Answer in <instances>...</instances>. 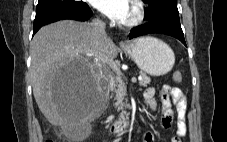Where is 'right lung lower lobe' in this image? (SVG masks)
<instances>
[{"mask_svg": "<svg viewBox=\"0 0 227 142\" xmlns=\"http://www.w3.org/2000/svg\"><path fill=\"white\" fill-rule=\"evenodd\" d=\"M92 16L89 6L57 8L41 12H36L34 20L33 35L44 25L63 19H75L86 21Z\"/></svg>", "mask_w": 227, "mask_h": 142, "instance_id": "1", "label": "right lung lower lobe"}]
</instances>
